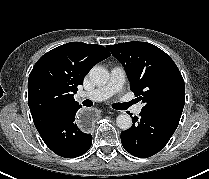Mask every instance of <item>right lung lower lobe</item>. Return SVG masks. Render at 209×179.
Returning a JSON list of instances; mask_svg holds the SVG:
<instances>
[{
  "label": "right lung lower lobe",
  "instance_id": "right-lung-lower-lobe-1",
  "mask_svg": "<svg viewBox=\"0 0 209 179\" xmlns=\"http://www.w3.org/2000/svg\"><path fill=\"white\" fill-rule=\"evenodd\" d=\"M79 108L64 112L39 132L44 143L61 157H78L91 147L92 136L81 131L74 121Z\"/></svg>",
  "mask_w": 209,
  "mask_h": 179
}]
</instances>
